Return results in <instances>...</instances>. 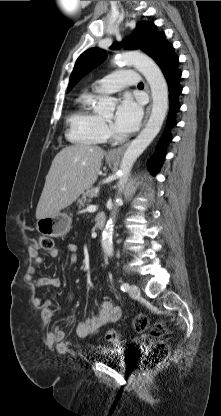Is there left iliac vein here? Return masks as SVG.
I'll use <instances>...</instances> for the list:
<instances>
[{
	"label": "left iliac vein",
	"mask_w": 221,
	"mask_h": 416,
	"mask_svg": "<svg viewBox=\"0 0 221 416\" xmlns=\"http://www.w3.org/2000/svg\"><path fill=\"white\" fill-rule=\"evenodd\" d=\"M129 294L132 298H138L140 296L139 287L135 284H132L129 290Z\"/></svg>",
	"instance_id": "1"
}]
</instances>
